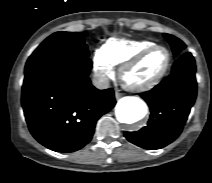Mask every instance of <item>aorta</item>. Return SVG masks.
I'll list each match as a JSON object with an SVG mask.
<instances>
[{
  "label": "aorta",
  "instance_id": "obj_1",
  "mask_svg": "<svg viewBox=\"0 0 212 183\" xmlns=\"http://www.w3.org/2000/svg\"><path fill=\"white\" fill-rule=\"evenodd\" d=\"M115 114L119 122L133 124L145 117L147 106L140 98L127 96L117 103Z\"/></svg>",
  "mask_w": 212,
  "mask_h": 183
}]
</instances>
